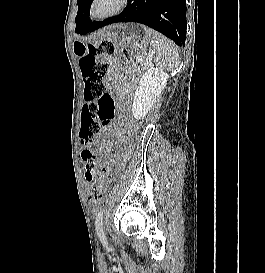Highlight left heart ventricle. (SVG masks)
<instances>
[{
  "mask_svg": "<svg viewBox=\"0 0 265 273\" xmlns=\"http://www.w3.org/2000/svg\"><path fill=\"white\" fill-rule=\"evenodd\" d=\"M117 0H98L95 4L94 11L97 15L104 14L116 5Z\"/></svg>",
  "mask_w": 265,
  "mask_h": 273,
  "instance_id": "left-heart-ventricle-1",
  "label": "left heart ventricle"
}]
</instances>
